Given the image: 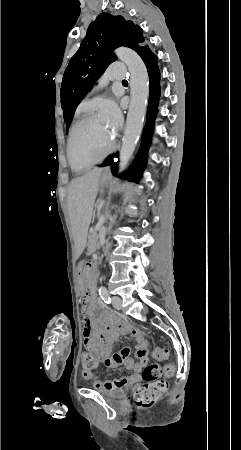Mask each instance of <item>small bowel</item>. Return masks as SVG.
I'll use <instances>...</instances> for the list:
<instances>
[{"mask_svg":"<svg viewBox=\"0 0 241 450\" xmlns=\"http://www.w3.org/2000/svg\"><path fill=\"white\" fill-rule=\"evenodd\" d=\"M82 315L84 318L83 344L85 347H93L94 355H97V363H103L108 368L123 366L131 371V374L121 378H115L100 382L96 380L91 371H83V376L88 380H94L96 388L113 392L128 386L139 384L145 365L149 363L148 340L139 326L130 322H123V327L118 331L116 324H107L105 328L98 325V316H90V307L93 306L92 298L82 299ZM120 335H130L135 338L134 349L129 346L123 347L119 352L111 354L113 345L118 341ZM134 353V358L131 356Z\"/></svg>","mask_w":241,"mask_h":450,"instance_id":"1","label":"small bowel"}]
</instances>
